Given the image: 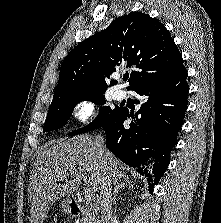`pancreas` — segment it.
I'll list each match as a JSON object with an SVG mask.
<instances>
[{
    "label": "pancreas",
    "mask_w": 221,
    "mask_h": 223,
    "mask_svg": "<svg viewBox=\"0 0 221 223\" xmlns=\"http://www.w3.org/2000/svg\"><path fill=\"white\" fill-rule=\"evenodd\" d=\"M76 223H97V219L94 213L87 209L83 212L82 218L77 220Z\"/></svg>",
    "instance_id": "cf45deb5"
}]
</instances>
